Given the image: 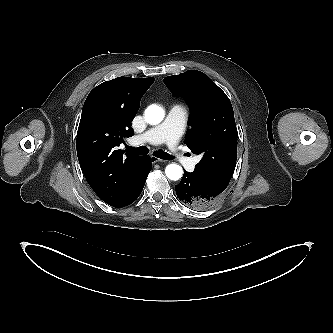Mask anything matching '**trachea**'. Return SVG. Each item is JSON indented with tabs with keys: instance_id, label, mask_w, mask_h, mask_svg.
<instances>
[{
	"instance_id": "obj_1",
	"label": "trachea",
	"mask_w": 333,
	"mask_h": 333,
	"mask_svg": "<svg viewBox=\"0 0 333 333\" xmlns=\"http://www.w3.org/2000/svg\"><path fill=\"white\" fill-rule=\"evenodd\" d=\"M126 151L130 152V153H133V154H136V155H146L149 153V149L147 147H144V146H141V147H138V148H134V147H131V146H126ZM154 156L160 158V159H164V160H169V159H173L174 157L169 155L168 153L166 152H163V151H155L154 153Z\"/></svg>"
}]
</instances>
